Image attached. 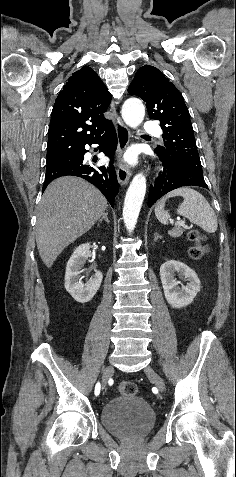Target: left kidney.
Returning <instances> with one entry per match:
<instances>
[{"instance_id":"1","label":"left kidney","mask_w":236,"mask_h":477,"mask_svg":"<svg viewBox=\"0 0 236 477\" xmlns=\"http://www.w3.org/2000/svg\"><path fill=\"white\" fill-rule=\"evenodd\" d=\"M175 273L185 276L188 281L186 286L181 288L178 286L180 282L174 278ZM160 278L165 298L173 308H182L189 305L200 291V280L197 274L186 264L179 261L169 260L162 264Z\"/></svg>"}]
</instances>
